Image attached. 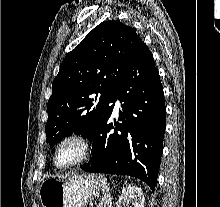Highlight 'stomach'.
Returning <instances> with one entry per match:
<instances>
[{
    "label": "stomach",
    "instance_id": "obj_1",
    "mask_svg": "<svg viewBox=\"0 0 220 207\" xmlns=\"http://www.w3.org/2000/svg\"><path fill=\"white\" fill-rule=\"evenodd\" d=\"M101 184L90 174L71 173L45 179L39 188L42 207H84L98 196Z\"/></svg>",
    "mask_w": 220,
    "mask_h": 207
}]
</instances>
